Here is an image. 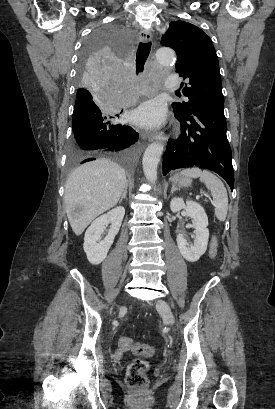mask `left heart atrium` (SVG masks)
I'll use <instances>...</instances> for the list:
<instances>
[{"label":"left heart atrium","instance_id":"left-heart-atrium-1","mask_svg":"<svg viewBox=\"0 0 275 409\" xmlns=\"http://www.w3.org/2000/svg\"><path fill=\"white\" fill-rule=\"evenodd\" d=\"M131 120L141 126L156 127L164 121V111L161 106L149 101L133 112Z\"/></svg>","mask_w":275,"mask_h":409}]
</instances>
